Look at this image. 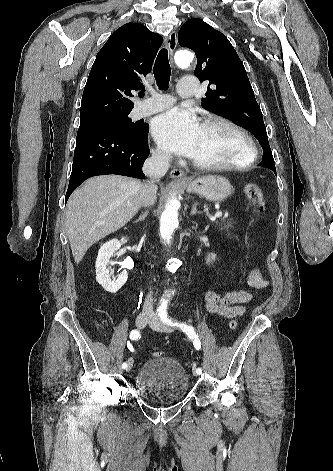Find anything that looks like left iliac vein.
<instances>
[{
	"mask_svg": "<svg viewBox=\"0 0 333 471\" xmlns=\"http://www.w3.org/2000/svg\"><path fill=\"white\" fill-rule=\"evenodd\" d=\"M149 325L152 329L156 330V331H159V332H170V328H168L167 326H165L161 320L157 317V316H152L150 321H149ZM194 375L195 376H198L199 374L196 373V371H194Z\"/></svg>",
	"mask_w": 333,
	"mask_h": 471,
	"instance_id": "1",
	"label": "left iliac vein"
}]
</instances>
